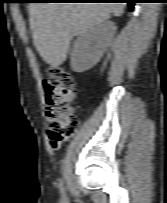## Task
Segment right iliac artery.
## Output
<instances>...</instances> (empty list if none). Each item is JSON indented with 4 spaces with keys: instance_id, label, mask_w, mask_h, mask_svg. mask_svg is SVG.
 <instances>
[{
    "instance_id": "obj_1",
    "label": "right iliac artery",
    "mask_w": 167,
    "mask_h": 203,
    "mask_svg": "<svg viewBox=\"0 0 167 203\" xmlns=\"http://www.w3.org/2000/svg\"><path fill=\"white\" fill-rule=\"evenodd\" d=\"M60 188L63 190V187H62V182H60Z\"/></svg>"
}]
</instances>
